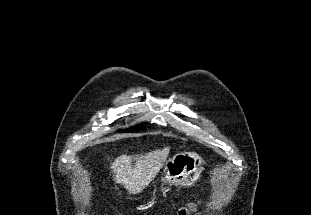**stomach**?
<instances>
[{
    "mask_svg": "<svg viewBox=\"0 0 311 215\" xmlns=\"http://www.w3.org/2000/svg\"><path fill=\"white\" fill-rule=\"evenodd\" d=\"M205 160L197 152L183 151L170 158L163 167L164 184L191 187L200 179Z\"/></svg>",
    "mask_w": 311,
    "mask_h": 215,
    "instance_id": "obj_1",
    "label": "stomach"
}]
</instances>
